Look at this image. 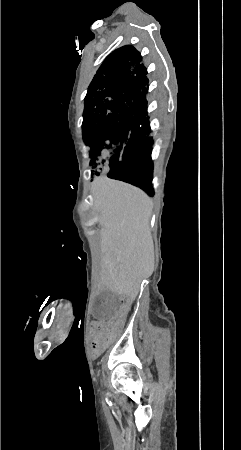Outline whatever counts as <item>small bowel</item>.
<instances>
[{"mask_svg":"<svg viewBox=\"0 0 241 450\" xmlns=\"http://www.w3.org/2000/svg\"><path fill=\"white\" fill-rule=\"evenodd\" d=\"M122 306L120 307V311L119 312H117L116 313V316L117 317H119V318H124L125 317V315L129 312V302L128 301H123L122 302V304H121ZM101 322L100 321H98V320H94V321H92V323H91V326H92V328L90 329V334L91 335H98L99 333H100V330L98 329V328H100L101 327ZM116 326L118 327V328H121L122 326H123V323L121 322V321H118L117 323H116ZM110 334L111 335H116L117 334V329L116 328H111L110 329ZM111 335H102V336H100L99 337V342L100 343H102V344H111V343H113L114 341H115V338L113 337V336H111ZM98 340H96V339H91L90 341H89V346L91 347V348H96V347H98V345H99V342H98ZM93 354L94 355H97L98 354V352H97V350L96 349H94V351H93Z\"/></svg>","mask_w":241,"mask_h":450,"instance_id":"obj_1","label":"small bowel"}]
</instances>
